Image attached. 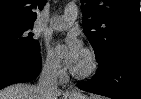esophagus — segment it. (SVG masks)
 Listing matches in <instances>:
<instances>
[{"instance_id": "1", "label": "esophagus", "mask_w": 141, "mask_h": 99, "mask_svg": "<svg viewBox=\"0 0 141 99\" xmlns=\"http://www.w3.org/2000/svg\"><path fill=\"white\" fill-rule=\"evenodd\" d=\"M70 94H71V95H76V94H78V93H77L76 90H74V89H70Z\"/></svg>"}]
</instances>
